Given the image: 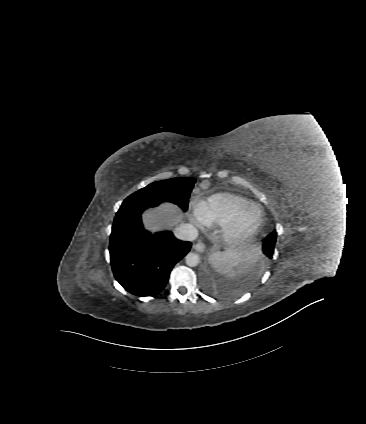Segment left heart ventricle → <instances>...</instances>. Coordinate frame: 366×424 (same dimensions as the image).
I'll list each match as a JSON object with an SVG mask.
<instances>
[{"label":"left heart ventricle","instance_id":"obj_1","mask_svg":"<svg viewBox=\"0 0 366 424\" xmlns=\"http://www.w3.org/2000/svg\"><path fill=\"white\" fill-rule=\"evenodd\" d=\"M256 215H257V212L255 209H251L247 211L242 220V227L244 229L250 228L256 220Z\"/></svg>","mask_w":366,"mask_h":424}]
</instances>
